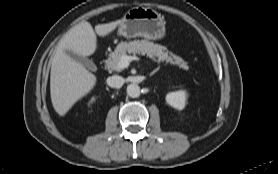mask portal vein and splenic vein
Listing matches in <instances>:
<instances>
[{
	"label": "portal vein and splenic vein",
	"mask_w": 278,
	"mask_h": 174,
	"mask_svg": "<svg viewBox=\"0 0 278 174\" xmlns=\"http://www.w3.org/2000/svg\"><path fill=\"white\" fill-rule=\"evenodd\" d=\"M133 60V57L131 56H127V55H124L120 58V61H119V68L120 69H125L127 68L129 65H130V62Z\"/></svg>",
	"instance_id": "portal-vein-and-splenic-vein-1"
}]
</instances>
